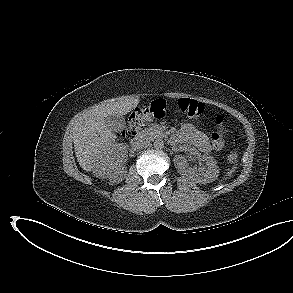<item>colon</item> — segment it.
I'll return each instance as SVG.
<instances>
[{"label":"colon","mask_w":293,"mask_h":293,"mask_svg":"<svg viewBox=\"0 0 293 293\" xmlns=\"http://www.w3.org/2000/svg\"><path fill=\"white\" fill-rule=\"evenodd\" d=\"M178 109L190 118H197L204 112V106L196 100L183 98L178 101ZM167 112L166 103L163 100H155L146 107L137 108L129 117L126 129L123 131V136L132 138L145 123L160 119L165 116ZM217 124V131L212 134V144L214 148L220 149L224 146V135L227 132L224 117L217 115L215 118ZM229 161L231 163L238 162V153L232 151L229 154Z\"/></svg>","instance_id":"obj_1"}]
</instances>
